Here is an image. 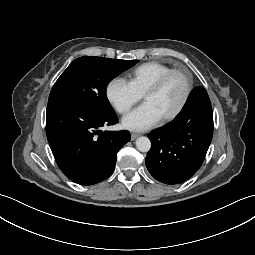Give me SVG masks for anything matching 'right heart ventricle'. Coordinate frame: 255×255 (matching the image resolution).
Masks as SVG:
<instances>
[{
  "mask_svg": "<svg viewBox=\"0 0 255 255\" xmlns=\"http://www.w3.org/2000/svg\"><path fill=\"white\" fill-rule=\"evenodd\" d=\"M171 69V67L160 62H146L130 72L129 83L142 96L162 74Z\"/></svg>",
  "mask_w": 255,
  "mask_h": 255,
  "instance_id": "e07e8e85",
  "label": "right heart ventricle"
}]
</instances>
